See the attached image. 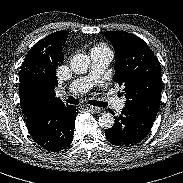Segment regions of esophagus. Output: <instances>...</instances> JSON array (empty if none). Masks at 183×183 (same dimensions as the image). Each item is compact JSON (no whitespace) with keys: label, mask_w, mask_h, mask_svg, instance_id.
<instances>
[{"label":"esophagus","mask_w":183,"mask_h":183,"mask_svg":"<svg viewBox=\"0 0 183 183\" xmlns=\"http://www.w3.org/2000/svg\"><path fill=\"white\" fill-rule=\"evenodd\" d=\"M85 108L93 113H100L101 112V109L99 107L85 105Z\"/></svg>","instance_id":"obj_1"}]
</instances>
